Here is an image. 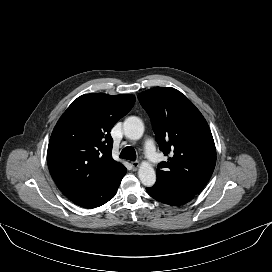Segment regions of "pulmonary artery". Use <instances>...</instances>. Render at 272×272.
<instances>
[{
	"instance_id": "1",
	"label": "pulmonary artery",
	"mask_w": 272,
	"mask_h": 272,
	"mask_svg": "<svg viewBox=\"0 0 272 272\" xmlns=\"http://www.w3.org/2000/svg\"><path fill=\"white\" fill-rule=\"evenodd\" d=\"M144 150H145L146 156L151 162L158 163L160 161V156L156 152L154 143L151 139L146 140L144 145Z\"/></svg>"
}]
</instances>
